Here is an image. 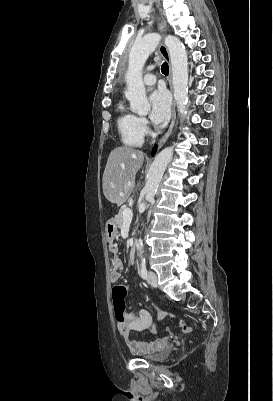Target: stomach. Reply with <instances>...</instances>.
I'll list each match as a JSON object with an SVG mask.
<instances>
[{"instance_id":"0dacf381","label":"stomach","mask_w":273,"mask_h":401,"mask_svg":"<svg viewBox=\"0 0 273 401\" xmlns=\"http://www.w3.org/2000/svg\"><path fill=\"white\" fill-rule=\"evenodd\" d=\"M106 237L108 241H113L117 235V225L115 219H109L105 225Z\"/></svg>"}]
</instances>
